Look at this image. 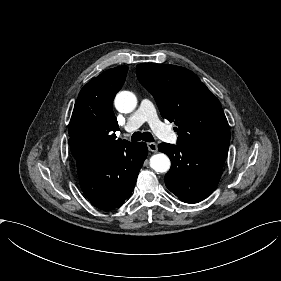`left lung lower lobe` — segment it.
Wrapping results in <instances>:
<instances>
[{
    "instance_id": "0a47b994",
    "label": "left lung lower lobe",
    "mask_w": 281,
    "mask_h": 281,
    "mask_svg": "<svg viewBox=\"0 0 281 281\" xmlns=\"http://www.w3.org/2000/svg\"><path fill=\"white\" fill-rule=\"evenodd\" d=\"M159 151L171 160V169L165 175L167 188L186 203L200 202L213 192L228 153L190 150L167 143H161Z\"/></svg>"
}]
</instances>
